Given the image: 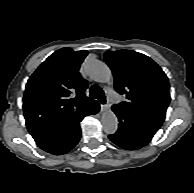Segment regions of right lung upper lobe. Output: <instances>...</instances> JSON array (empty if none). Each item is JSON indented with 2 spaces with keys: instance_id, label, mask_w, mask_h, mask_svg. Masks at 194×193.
<instances>
[{
  "instance_id": "cb5924a9",
  "label": "right lung upper lobe",
  "mask_w": 194,
  "mask_h": 193,
  "mask_svg": "<svg viewBox=\"0 0 194 193\" xmlns=\"http://www.w3.org/2000/svg\"><path fill=\"white\" fill-rule=\"evenodd\" d=\"M87 54L59 49L32 74L23 97L29 131L59 122L96 102L85 96L88 84L78 72Z\"/></svg>"
}]
</instances>
